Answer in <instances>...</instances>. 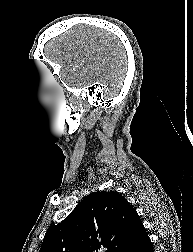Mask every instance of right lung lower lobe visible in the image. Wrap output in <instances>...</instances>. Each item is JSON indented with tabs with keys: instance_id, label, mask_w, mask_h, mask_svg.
Masks as SVG:
<instances>
[{
	"instance_id": "obj_1",
	"label": "right lung lower lobe",
	"mask_w": 193,
	"mask_h": 252,
	"mask_svg": "<svg viewBox=\"0 0 193 252\" xmlns=\"http://www.w3.org/2000/svg\"><path fill=\"white\" fill-rule=\"evenodd\" d=\"M124 252H154L145 228L141 230L136 240Z\"/></svg>"
}]
</instances>
